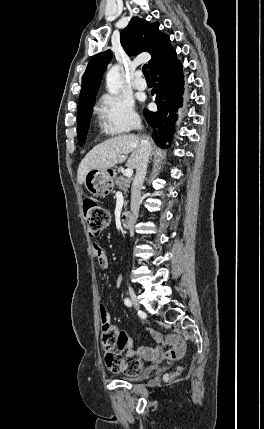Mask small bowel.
Listing matches in <instances>:
<instances>
[{
    "instance_id": "c3829d8e",
    "label": "small bowel",
    "mask_w": 264,
    "mask_h": 429,
    "mask_svg": "<svg viewBox=\"0 0 264 429\" xmlns=\"http://www.w3.org/2000/svg\"><path fill=\"white\" fill-rule=\"evenodd\" d=\"M93 254L97 258L101 268L106 269L109 266V259L104 249L98 244H93ZM119 283V279H118ZM155 340L154 346H141L136 350L130 349V353L136 355L139 360L155 362L160 359H177L183 356L186 350L185 341L177 334L168 335L163 338L156 331H150ZM169 348L165 350V347Z\"/></svg>"
}]
</instances>
